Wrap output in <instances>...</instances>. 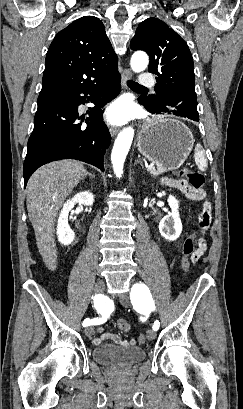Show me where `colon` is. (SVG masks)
Masks as SVG:
<instances>
[{"label": "colon", "instance_id": "5ec220e1", "mask_svg": "<svg viewBox=\"0 0 243 409\" xmlns=\"http://www.w3.org/2000/svg\"><path fill=\"white\" fill-rule=\"evenodd\" d=\"M178 174L181 178H184L191 185V187H193L196 190L204 192L203 188L204 177L201 173L190 171L188 169H183L180 170ZM195 248H196L195 234H193L185 240L183 245V257L181 260V267L185 272L189 270L192 264L191 255L194 252ZM118 326L124 331H127L130 328L129 324L122 319L118 320ZM138 339L141 344L145 343L146 341V337L143 334H141Z\"/></svg>", "mask_w": 243, "mask_h": 409}]
</instances>
